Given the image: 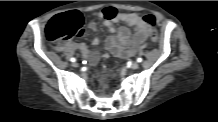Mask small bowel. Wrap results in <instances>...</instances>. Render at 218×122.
<instances>
[{
  "label": "small bowel",
  "instance_id": "1",
  "mask_svg": "<svg viewBox=\"0 0 218 122\" xmlns=\"http://www.w3.org/2000/svg\"><path fill=\"white\" fill-rule=\"evenodd\" d=\"M113 7H106L101 11L95 12L94 17L96 19H103L104 25L110 33H116L115 24L123 23L124 27L117 31V34L111 35L106 39V49L108 53L120 57H130L136 50L149 38L154 29L148 25L137 13H122L117 12ZM91 30H96L97 24L95 21L89 23ZM129 28L134 29V33L131 34ZM99 40L95 38L93 45H98ZM71 47L81 52L82 56L91 64L94 65L98 62L100 52L97 49H90L85 43H59L58 49H64Z\"/></svg>",
  "mask_w": 218,
  "mask_h": 122
}]
</instances>
